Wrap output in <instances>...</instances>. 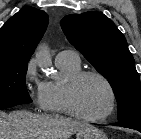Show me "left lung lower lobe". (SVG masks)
I'll return each mask as SVG.
<instances>
[{"label":"left lung lower lobe","instance_id":"0a47b994","mask_svg":"<svg viewBox=\"0 0 141 139\" xmlns=\"http://www.w3.org/2000/svg\"><path fill=\"white\" fill-rule=\"evenodd\" d=\"M114 125L135 129L141 132V120H130L125 122H119V123H115Z\"/></svg>","mask_w":141,"mask_h":139}]
</instances>
